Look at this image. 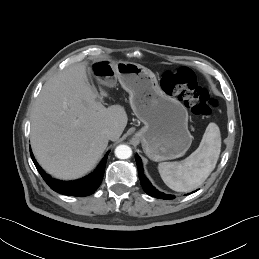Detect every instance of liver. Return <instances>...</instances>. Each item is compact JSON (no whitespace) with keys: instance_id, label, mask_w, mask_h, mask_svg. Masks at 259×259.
<instances>
[{"instance_id":"6515ba94","label":"liver","mask_w":259,"mask_h":259,"mask_svg":"<svg viewBox=\"0 0 259 259\" xmlns=\"http://www.w3.org/2000/svg\"><path fill=\"white\" fill-rule=\"evenodd\" d=\"M86 68L80 63L50 78L32 109L33 153L42 168L58 179H77L89 172L107 148L109 139L103 131L114 130L115 141L127 125L122 106L106 108L96 101Z\"/></svg>"}]
</instances>
